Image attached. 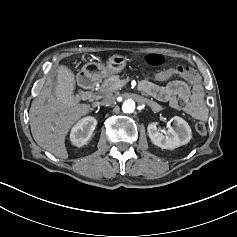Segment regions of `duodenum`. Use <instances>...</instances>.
<instances>
[{"label":"duodenum","instance_id":"1","mask_svg":"<svg viewBox=\"0 0 237 237\" xmlns=\"http://www.w3.org/2000/svg\"><path fill=\"white\" fill-rule=\"evenodd\" d=\"M100 70L95 65L87 66L79 75V84L84 89H92L100 80Z\"/></svg>","mask_w":237,"mask_h":237}]
</instances>
